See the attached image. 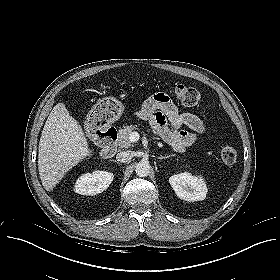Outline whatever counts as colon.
<instances>
[{
    "instance_id": "obj_1",
    "label": "colon",
    "mask_w": 280,
    "mask_h": 280,
    "mask_svg": "<svg viewBox=\"0 0 280 280\" xmlns=\"http://www.w3.org/2000/svg\"><path fill=\"white\" fill-rule=\"evenodd\" d=\"M174 93L176 97L187 106H198L202 97L200 92L192 86L178 85ZM221 161L226 165H232L237 160V150L232 146H224L220 153Z\"/></svg>"
}]
</instances>
